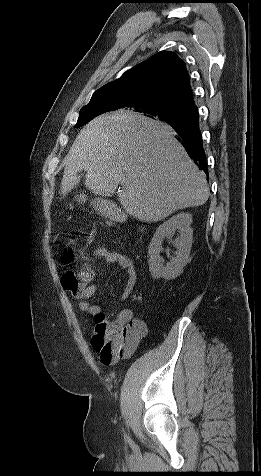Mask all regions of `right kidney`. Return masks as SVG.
Here are the masks:
<instances>
[{
  "instance_id": "ca27d5eb",
  "label": "right kidney",
  "mask_w": 261,
  "mask_h": 476,
  "mask_svg": "<svg viewBox=\"0 0 261 476\" xmlns=\"http://www.w3.org/2000/svg\"><path fill=\"white\" fill-rule=\"evenodd\" d=\"M191 223L192 215L183 212L171 217L157 228L148 247L149 271L153 278L171 280L181 274L188 262L192 246ZM176 230H179L180 235L172 242L176 248L175 257L164 265L163 258L160 256L162 242L165 238L171 239Z\"/></svg>"
}]
</instances>
